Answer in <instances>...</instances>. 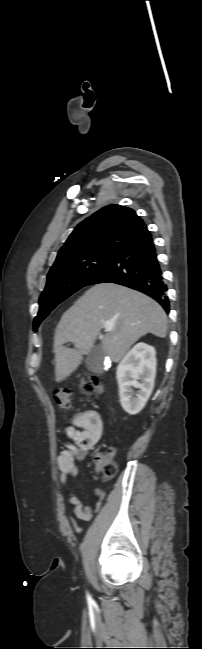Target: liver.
<instances>
[{
    "label": "liver",
    "mask_w": 202,
    "mask_h": 649,
    "mask_svg": "<svg viewBox=\"0 0 202 649\" xmlns=\"http://www.w3.org/2000/svg\"><path fill=\"white\" fill-rule=\"evenodd\" d=\"M111 325L106 330V325ZM102 328L103 353L118 362L140 337L151 333L165 338L167 316L151 297L115 283L88 289L62 315L54 335L56 382L65 380L93 348ZM71 342L74 349L64 346Z\"/></svg>",
    "instance_id": "6515ba94"
}]
</instances>
